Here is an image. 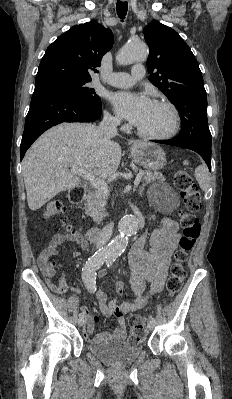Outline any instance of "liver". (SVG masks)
Segmentation results:
<instances>
[{"mask_svg": "<svg viewBox=\"0 0 232 399\" xmlns=\"http://www.w3.org/2000/svg\"><path fill=\"white\" fill-rule=\"evenodd\" d=\"M121 148L95 124H59L42 134L26 152L22 174L30 209H39L59 192L73 190L81 180L69 168L99 178L118 170Z\"/></svg>", "mask_w": 232, "mask_h": 399, "instance_id": "6515ba94", "label": "liver"}]
</instances>
